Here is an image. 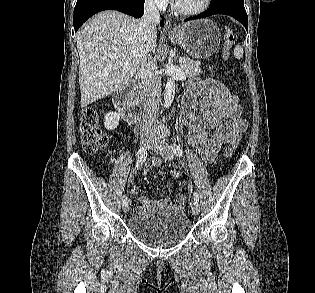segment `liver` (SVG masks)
<instances>
[{
	"label": "liver",
	"mask_w": 315,
	"mask_h": 293,
	"mask_svg": "<svg viewBox=\"0 0 315 293\" xmlns=\"http://www.w3.org/2000/svg\"><path fill=\"white\" fill-rule=\"evenodd\" d=\"M77 49L84 108L129 85L143 62L140 20L116 11L98 13L78 32Z\"/></svg>",
	"instance_id": "obj_1"
}]
</instances>
